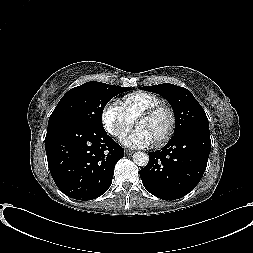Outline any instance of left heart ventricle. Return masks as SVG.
I'll return each mask as SVG.
<instances>
[{"instance_id":"left-heart-ventricle-1","label":"left heart ventricle","mask_w":253,"mask_h":253,"mask_svg":"<svg viewBox=\"0 0 253 253\" xmlns=\"http://www.w3.org/2000/svg\"><path fill=\"white\" fill-rule=\"evenodd\" d=\"M169 125V115L165 112H159L152 117H141L136 121L137 128L148 131L157 142L166 132Z\"/></svg>"}]
</instances>
